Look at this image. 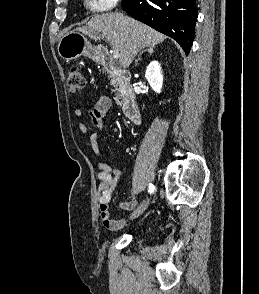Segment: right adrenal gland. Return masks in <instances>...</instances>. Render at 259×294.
I'll return each instance as SVG.
<instances>
[{"label": "right adrenal gland", "mask_w": 259, "mask_h": 294, "mask_svg": "<svg viewBox=\"0 0 259 294\" xmlns=\"http://www.w3.org/2000/svg\"><path fill=\"white\" fill-rule=\"evenodd\" d=\"M154 48H155V46H151V47H149L148 49H145V50L141 51V52L139 53V55H138V58L135 60V65H137V64H138V61L141 60V55H142L144 52H148L150 55H152L153 52H154Z\"/></svg>", "instance_id": "right-adrenal-gland-1"}]
</instances>
